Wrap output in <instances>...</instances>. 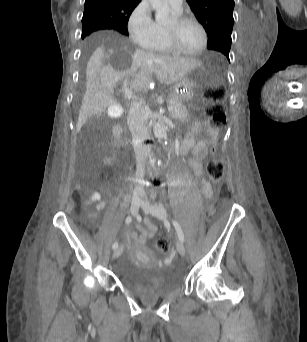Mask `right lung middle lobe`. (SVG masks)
<instances>
[{
	"label": "right lung middle lobe",
	"mask_w": 307,
	"mask_h": 342,
	"mask_svg": "<svg viewBox=\"0 0 307 342\" xmlns=\"http://www.w3.org/2000/svg\"><path fill=\"white\" fill-rule=\"evenodd\" d=\"M82 38L87 36L89 33L101 30V29H107L108 24L104 20V17L93 12H88L83 14L82 18ZM124 35H128V31H120Z\"/></svg>",
	"instance_id": "dd1d6c3e"
}]
</instances>
